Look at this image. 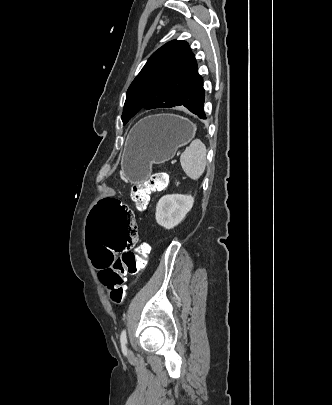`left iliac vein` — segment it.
Wrapping results in <instances>:
<instances>
[{"instance_id":"1","label":"left iliac vein","mask_w":332,"mask_h":405,"mask_svg":"<svg viewBox=\"0 0 332 405\" xmlns=\"http://www.w3.org/2000/svg\"><path fill=\"white\" fill-rule=\"evenodd\" d=\"M128 354L131 355L132 354L131 351H129Z\"/></svg>"}]
</instances>
